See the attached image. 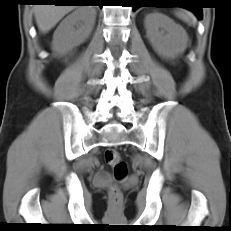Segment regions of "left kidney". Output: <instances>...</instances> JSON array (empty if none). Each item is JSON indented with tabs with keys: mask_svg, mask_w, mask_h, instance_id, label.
I'll return each instance as SVG.
<instances>
[{
	"mask_svg": "<svg viewBox=\"0 0 231 231\" xmlns=\"http://www.w3.org/2000/svg\"><path fill=\"white\" fill-rule=\"evenodd\" d=\"M147 37L154 50L162 57L173 59L183 53L188 44L185 29L162 13H151L145 18Z\"/></svg>",
	"mask_w": 231,
	"mask_h": 231,
	"instance_id": "1",
	"label": "left kidney"
}]
</instances>
